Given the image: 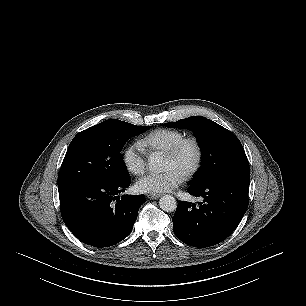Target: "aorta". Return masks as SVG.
Wrapping results in <instances>:
<instances>
[{"instance_id":"obj_1","label":"aorta","mask_w":306,"mask_h":306,"mask_svg":"<svg viewBox=\"0 0 306 306\" xmlns=\"http://www.w3.org/2000/svg\"><path fill=\"white\" fill-rule=\"evenodd\" d=\"M160 158L157 156H151L148 161L150 170L156 171L160 167ZM160 208L165 212H173L177 208L176 199L172 195H164L159 200Z\"/></svg>"}]
</instances>
